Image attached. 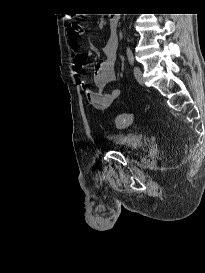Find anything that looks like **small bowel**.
<instances>
[{
    "label": "small bowel",
    "instance_id": "obj_1",
    "mask_svg": "<svg viewBox=\"0 0 205 273\" xmlns=\"http://www.w3.org/2000/svg\"><path fill=\"white\" fill-rule=\"evenodd\" d=\"M79 36H69L70 48L76 54L74 61V73L81 77V88L91 107L96 110H106L120 96V89L114 88L105 92L106 86L115 79V62L118 48L117 39L111 37L102 48L104 59L94 64L93 73L89 79L84 78L83 71L90 52H82ZM92 82L96 89L88 88Z\"/></svg>",
    "mask_w": 205,
    "mask_h": 273
}]
</instances>
